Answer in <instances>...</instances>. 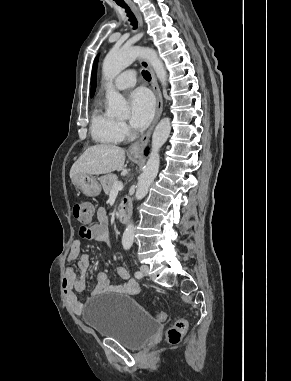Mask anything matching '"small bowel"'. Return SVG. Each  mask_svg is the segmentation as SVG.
Returning <instances> with one entry per match:
<instances>
[{"mask_svg": "<svg viewBox=\"0 0 291 381\" xmlns=\"http://www.w3.org/2000/svg\"><path fill=\"white\" fill-rule=\"evenodd\" d=\"M99 223L91 226L88 229H81L79 237L72 244L68 261L77 262V266L81 271V275L77 276L75 269L71 266L66 268L63 279V291L65 298L75 314H81L84 309V302H81L76 295V292H84L86 288V270L90 266V258L86 254L80 253L82 239H89L105 244H110L107 230V219L104 209L98 212ZM118 276L124 280L123 285H116L104 273H99L96 277L97 285L91 297H95L104 293H117L127 296H134L140 292V285L137 281L130 278L127 269L120 265L116 269Z\"/></svg>", "mask_w": 291, "mask_h": 381, "instance_id": "obj_1", "label": "small bowel"}]
</instances>
